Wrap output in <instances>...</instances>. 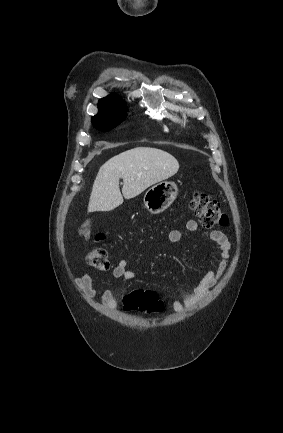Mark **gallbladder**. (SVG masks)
Masks as SVG:
<instances>
[{"label": "gallbladder", "mask_w": 283, "mask_h": 433, "mask_svg": "<svg viewBox=\"0 0 283 433\" xmlns=\"http://www.w3.org/2000/svg\"><path fill=\"white\" fill-rule=\"evenodd\" d=\"M90 221H86L84 225H82V229H80L79 233L80 235H84L85 239H89L90 237Z\"/></svg>", "instance_id": "obj_1"}]
</instances>
